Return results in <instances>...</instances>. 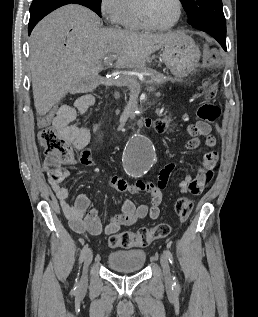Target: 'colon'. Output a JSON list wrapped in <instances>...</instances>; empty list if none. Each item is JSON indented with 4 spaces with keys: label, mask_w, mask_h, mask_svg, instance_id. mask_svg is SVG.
I'll return each mask as SVG.
<instances>
[{
    "label": "colon",
    "mask_w": 258,
    "mask_h": 317,
    "mask_svg": "<svg viewBox=\"0 0 258 317\" xmlns=\"http://www.w3.org/2000/svg\"><path fill=\"white\" fill-rule=\"evenodd\" d=\"M214 84L208 82L203 89L206 101L201 103L197 108V117L205 122H214L220 115V108L208 100L214 95ZM53 113H48L41 118L45 123L44 127L38 133V141L46 154L59 157L66 163H76L81 161L85 152L76 154L70 145L59 132L47 124L51 121ZM170 121L167 117L157 119L153 123L154 129L158 133L166 132L169 129ZM193 208V203L188 198H180L175 204V213L180 221H185ZM171 231V228L166 223H160L154 227H142L137 231H123L118 234L110 235L108 244L113 248H132V247H145L153 241L166 238Z\"/></svg>",
    "instance_id": "1"
}]
</instances>
